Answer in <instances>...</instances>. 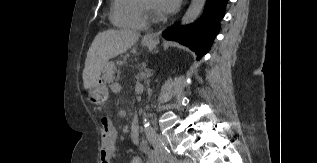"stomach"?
I'll return each mask as SVG.
<instances>
[{
    "label": "stomach",
    "instance_id": "0dacf381",
    "mask_svg": "<svg viewBox=\"0 0 317 163\" xmlns=\"http://www.w3.org/2000/svg\"><path fill=\"white\" fill-rule=\"evenodd\" d=\"M143 45L148 47L151 43L143 42ZM88 98L89 101L95 105H102L107 101L108 88L101 79L88 90Z\"/></svg>",
    "mask_w": 317,
    "mask_h": 163
}]
</instances>
